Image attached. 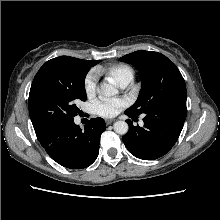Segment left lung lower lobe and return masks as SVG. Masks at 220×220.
<instances>
[{
    "mask_svg": "<svg viewBox=\"0 0 220 220\" xmlns=\"http://www.w3.org/2000/svg\"><path fill=\"white\" fill-rule=\"evenodd\" d=\"M145 115L143 127H135L127 120L129 131L122 140L135 157L154 160L165 155L176 143L187 115L186 102L161 105Z\"/></svg>",
    "mask_w": 220,
    "mask_h": 220,
    "instance_id": "0a47b994",
    "label": "left lung lower lobe"
}]
</instances>
